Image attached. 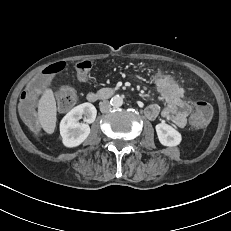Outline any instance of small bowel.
I'll return each instance as SVG.
<instances>
[{
    "instance_id": "small-bowel-1",
    "label": "small bowel",
    "mask_w": 231,
    "mask_h": 231,
    "mask_svg": "<svg viewBox=\"0 0 231 231\" xmlns=\"http://www.w3.org/2000/svg\"><path fill=\"white\" fill-rule=\"evenodd\" d=\"M157 91L160 93L165 105L150 104L145 108V116L155 120L161 116L178 128H183L191 112V106L184 100V92L169 83L154 80Z\"/></svg>"
}]
</instances>
